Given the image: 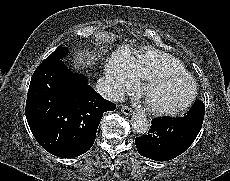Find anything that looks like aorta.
Here are the masks:
<instances>
[{"mask_svg": "<svg viewBox=\"0 0 230 181\" xmlns=\"http://www.w3.org/2000/svg\"><path fill=\"white\" fill-rule=\"evenodd\" d=\"M131 125L134 131L140 135H147L151 126L146 116L141 113H134L132 115Z\"/></svg>", "mask_w": 230, "mask_h": 181, "instance_id": "obj_1", "label": "aorta"}]
</instances>
